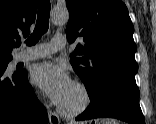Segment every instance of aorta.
Wrapping results in <instances>:
<instances>
[{
  "label": "aorta",
  "mask_w": 156,
  "mask_h": 124,
  "mask_svg": "<svg viewBox=\"0 0 156 124\" xmlns=\"http://www.w3.org/2000/svg\"><path fill=\"white\" fill-rule=\"evenodd\" d=\"M69 19V12L65 8H54L51 12V21L54 24H64Z\"/></svg>",
  "instance_id": "762f6f07"
}]
</instances>
